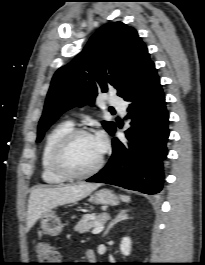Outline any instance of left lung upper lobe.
Here are the masks:
<instances>
[{"mask_svg":"<svg viewBox=\"0 0 205 265\" xmlns=\"http://www.w3.org/2000/svg\"><path fill=\"white\" fill-rule=\"evenodd\" d=\"M154 65L146 45L137 31L122 22L102 26L89 40L83 51L54 74L38 125L40 142L45 131L66 110L94 104L98 93L117 89L126 98ZM108 133L115 130L114 122H102Z\"/></svg>","mask_w":205,"mask_h":265,"instance_id":"5c2ea615","label":"left lung upper lobe"}]
</instances>
